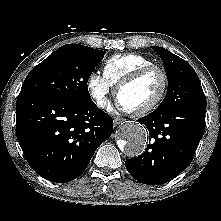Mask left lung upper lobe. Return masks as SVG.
Here are the masks:
<instances>
[{"instance_id": "left-lung-upper-lobe-1", "label": "left lung upper lobe", "mask_w": 221, "mask_h": 221, "mask_svg": "<svg viewBox=\"0 0 221 221\" xmlns=\"http://www.w3.org/2000/svg\"><path fill=\"white\" fill-rule=\"evenodd\" d=\"M153 49L160 55L168 78L167 94L157 109L206 106L203 89L192 66L165 48L153 46Z\"/></svg>"}]
</instances>
